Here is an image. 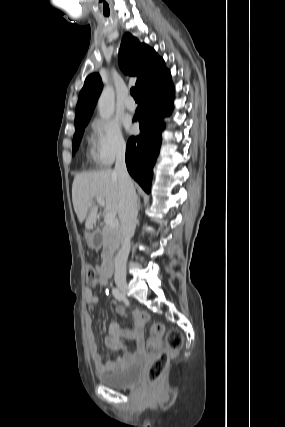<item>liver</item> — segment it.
I'll use <instances>...</instances> for the list:
<instances>
[{"instance_id":"1","label":"liver","mask_w":285,"mask_h":427,"mask_svg":"<svg viewBox=\"0 0 285 427\" xmlns=\"http://www.w3.org/2000/svg\"><path fill=\"white\" fill-rule=\"evenodd\" d=\"M105 200V211L119 212L120 190L118 176L113 170L83 172L74 177L72 184V202L80 223L85 221L90 230L98 219V206L94 198ZM90 202V206L88 203Z\"/></svg>"}]
</instances>
